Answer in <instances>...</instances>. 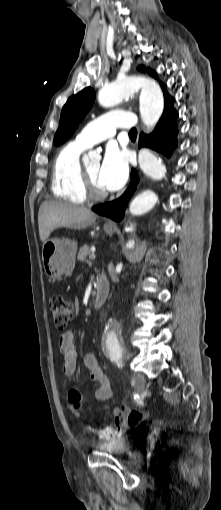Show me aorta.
Instances as JSON below:
<instances>
[{"label":"aorta","instance_id":"obj_1","mask_svg":"<svg viewBox=\"0 0 221 510\" xmlns=\"http://www.w3.org/2000/svg\"><path fill=\"white\" fill-rule=\"evenodd\" d=\"M139 89H141V119L147 128H151L158 122L164 109L163 93L155 81L143 76L124 77L104 85L99 91L98 100L103 107H114ZM93 157H97V154L90 152L85 157V161ZM138 161L141 170L148 177L154 180L164 178L166 167L149 150H141ZM157 201L158 197L153 191H143L132 200L129 211L132 215H142L150 211ZM127 230L133 231V227H128ZM134 244V240H130L126 246L127 248H133ZM102 345L106 350L116 349L121 345L120 330L117 323L113 320H108L105 323Z\"/></svg>","mask_w":221,"mask_h":510}]
</instances>
